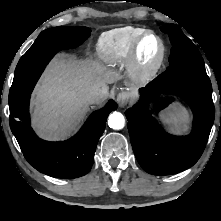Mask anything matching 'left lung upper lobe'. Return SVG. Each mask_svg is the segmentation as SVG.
Wrapping results in <instances>:
<instances>
[{"mask_svg": "<svg viewBox=\"0 0 221 221\" xmlns=\"http://www.w3.org/2000/svg\"><path fill=\"white\" fill-rule=\"evenodd\" d=\"M169 34L172 48L167 69H189L200 73H206L204 60L194 43L175 24L161 28Z\"/></svg>", "mask_w": 221, "mask_h": 221, "instance_id": "obj_1", "label": "left lung upper lobe"}]
</instances>
